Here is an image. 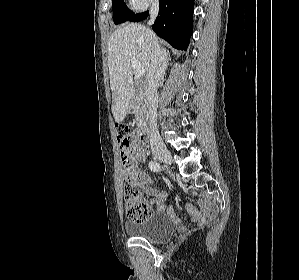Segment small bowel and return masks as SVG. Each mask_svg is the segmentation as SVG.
I'll list each match as a JSON object with an SVG mask.
<instances>
[{
	"label": "small bowel",
	"instance_id": "c3829d8e",
	"mask_svg": "<svg viewBox=\"0 0 299 280\" xmlns=\"http://www.w3.org/2000/svg\"><path fill=\"white\" fill-rule=\"evenodd\" d=\"M146 157L145 148L141 143L140 139L134 137L129 150H128V161H129V171L128 176L132 183L138 184L141 186L142 190L151 195L152 197L145 201L152 210V207H156L158 211H165L166 205L164 203V195L153 190L150 185L152 179L148 174L138 168V161H144ZM201 210L196 209L195 207L188 205L187 211L192 217V221L197 223H205L209 221L216 213L214 207H212L208 202L200 200L199 202ZM167 211L174 215L172 208H167Z\"/></svg>",
	"mask_w": 299,
	"mask_h": 280
}]
</instances>
